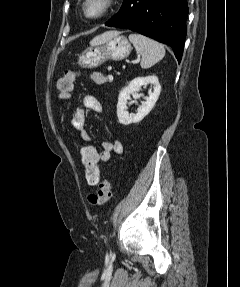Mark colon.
<instances>
[{"label":"colon","mask_w":240,"mask_h":287,"mask_svg":"<svg viewBox=\"0 0 240 287\" xmlns=\"http://www.w3.org/2000/svg\"><path fill=\"white\" fill-rule=\"evenodd\" d=\"M77 76L76 71L69 70L59 79L57 88L61 99L66 100L70 97ZM81 160L87 183L98 188L96 193L88 196V202L93 207H100L111 197V185L107 179L102 177L97 150L93 146H83Z\"/></svg>","instance_id":"colon-1"}]
</instances>
